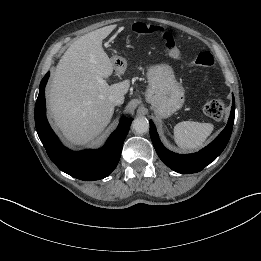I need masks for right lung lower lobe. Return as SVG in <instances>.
<instances>
[{"instance_id":"98d812e1","label":"right lung lower lobe","mask_w":261,"mask_h":261,"mask_svg":"<svg viewBox=\"0 0 261 261\" xmlns=\"http://www.w3.org/2000/svg\"><path fill=\"white\" fill-rule=\"evenodd\" d=\"M49 72L40 83L35 105V125L38 136L52 162L63 172L80 180L92 181L108 176L117 166L132 118H122L106 144L98 150L73 152L64 147L46 118L45 85Z\"/></svg>"}]
</instances>
